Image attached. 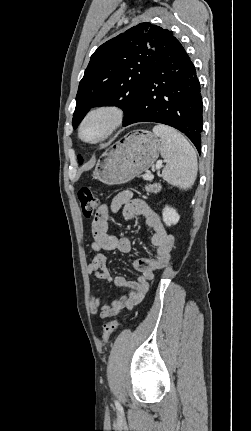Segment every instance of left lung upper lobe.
Instances as JSON below:
<instances>
[{
  "label": "left lung upper lobe",
  "instance_id": "5c2ea615",
  "mask_svg": "<svg viewBox=\"0 0 251 431\" xmlns=\"http://www.w3.org/2000/svg\"><path fill=\"white\" fill-rule=\"evenodd\" d=\"M172 32L140 23L102 44L91 56L80 81L72 124L76 128L95 106L123 109L124 122L133 112L152 68L157 50ZM80 164L82 157L78 156Z\"/></svg>",
  "mask_w": 251,
  "mask_h": 431
}]
</instances>
